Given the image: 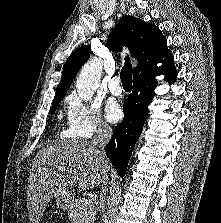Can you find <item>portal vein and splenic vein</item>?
<instances>
[{"label": "portal vein and splenic vein", "mask_w": 221, "mask_h": 223, "mask_svg": "<svg viewBox=\"0 0 221 223\" xmlns=\"http://www.w3.org/2000/svg\"><path fill=\"white\" fill-rule=\"evenodd\" d=\"M85 203L86 204L91 203V200H86Z\"/></svg>", "instance_id": "obj_1"}]
</instances>
